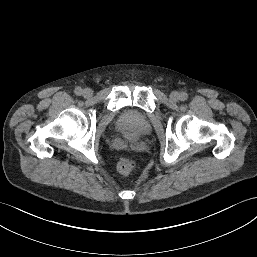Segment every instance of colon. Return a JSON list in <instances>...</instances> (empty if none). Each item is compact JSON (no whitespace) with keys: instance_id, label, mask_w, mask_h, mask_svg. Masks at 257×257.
Returning a JSON list of instances; mask_svg holds the SVG:
<instances>
[{"instance_id":"1","label":"colon","mask_w":257,"mask_h":257,"mask_svg":"<svg viewBox=\"0 0 257 257\" xmlns=\"http://www.w3.org/2000/svg\"><path fill=\"white\" fill-rule=\"evenodd\" d=\"M118 170L125 175L131 174L136 168V162L130 156H123L117 163Z\"/></svg>"}]
</instances>
